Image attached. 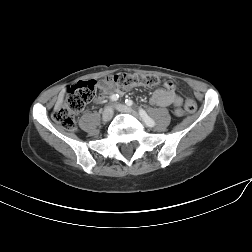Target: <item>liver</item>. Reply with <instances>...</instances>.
Returning <instances> with one entry per match:
<instances>
[{
  "label": "liver",
  "instance_id": "6515ba94",
  "mask_svg": "<svg viewBox=\"0 0 252 252\" xmlns=\"http://www.w3.org/2000/svg\"><path fill=\"white\" fill-rule=\"evenodd\" d=\"M64 95H65V90H62L60 93H59V95H58V100H57V102H56V108H58L61 104H62V102H63V99H64Z\"/></svg>",
  "mask_w": 252,
  "mask_h": 252
}]
</instances>
